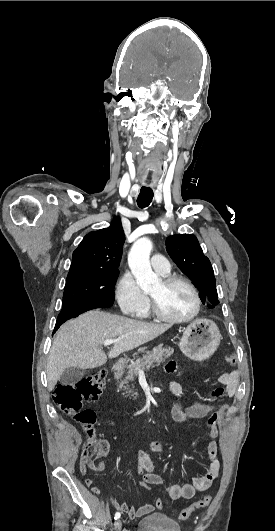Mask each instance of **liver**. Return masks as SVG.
Wrapping results in <instances>:
<instances>
[{
  "label": "liver",
  "instance_id": "obj_1",
  "mask_svg": "<svg viewBox=\"0 0 275 531\" xmlns=\"http://www.w3.org/2000/svg\"><path fill=\"white\" fill-rule=\"evenodd\" d=\"M171 325L143 323L119 315H110L100 309L88 311L78 319H71L60 327L50 349L47 361L48 391H53L57 381L69 367L95 369L115 359L125 351H132L153 341ZM120 339L113 343L108 355L102 351L104 341Z\"/></svg>",
  "mask_w": 275,
  "mask_h": 531
}]
</instances>
